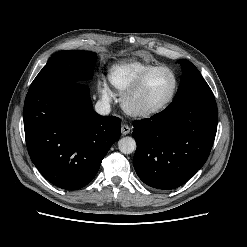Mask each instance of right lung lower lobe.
Returning <instances> with one entry per match:
<instances>
[{"label": "right lung lower lobe", "mask_w": 247, "mask_h": 247, "mask_svg": "<svg viewBox=\"0 0 247 247\" xmlns=\"http://www.w3.org/2000/svg\"><path fill=\"white\" fill-rule=\"evenodd\" d=\"M28 153L52 184L77 190L97 174L121 134V120L92 107L89 88L79 82L29 90L24 103Z\"/></svg>", "instance_id": "right-lung-lower-lobe-1"}]
</instances>
